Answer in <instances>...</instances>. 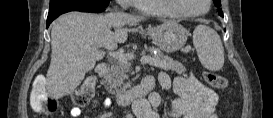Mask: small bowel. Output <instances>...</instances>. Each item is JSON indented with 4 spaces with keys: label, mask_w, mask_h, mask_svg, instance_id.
Returning <instances> with one entry per match:
<instances>
[{
    "label": "small bowel",
    "mask_w": 273,
    "mask_h": 118,
    "mask_svg": "<svg viewBox=\"0 0 273 118\" xmlns=\"http://www.w3.org/2000/svg\"><path fill=\"white\" fill-rule=\"evenodd\" d=\"M151 80V78H146ZM158 81L165 91H173L177 97L171 104L172 118H217L216 106L218 95L207 86L203 85L193 75H177L170 78L165 72L158 74ZM97 101L93 102L95 106ZM151 107L146 104L136 105L134 111L138 118H160L157 107L160 99L154 95L150 99ZM105 106H111V101L106 99ZM82 111L79 107L70 110V116L77 118ZM106 116V115H104Z\"/></svg>",
    "instance_id": "obj_1"
}]
</instances>
